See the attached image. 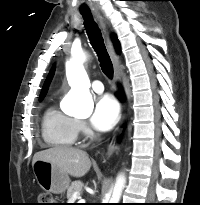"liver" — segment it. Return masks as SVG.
<instances>
[{"label": "liver", "mask_w": 200, "mask_h": 205, "mask_svg": "<svg viewBox=\"0 0 200 205\" xmlns=\"http://www.w3.org/2000/svg\"><path fill=\"white\" fill-rule=\"evenodd\" d=\"M38 160L50 162L76 178L84 176L91 167L88 154L71 147L56 146L39 151L35 153L32 165Z\"/></svg>", "instance_id": "obj_1"}]
</instances>
